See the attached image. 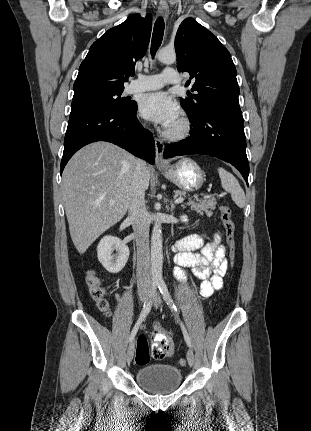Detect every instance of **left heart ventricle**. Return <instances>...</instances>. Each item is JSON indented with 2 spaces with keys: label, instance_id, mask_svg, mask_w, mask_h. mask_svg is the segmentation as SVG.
<instances>
[{
  "label": "left heart ventricle",
  "instance_id": "left-heart-ventricle-1",
  "mask_svg": "<svg viewBox=\"0 0 311 431\" xmlns=\"http://www.w3.org/2000/svg\"><path fill=\"white\" fill-rule=\"evenodd\" d=\"M177 126H178V122L172 128H170V130L176 129Z\"/></svg>",
  "mask_w": 311,
  "mask_h": 431
}]
</instances>
